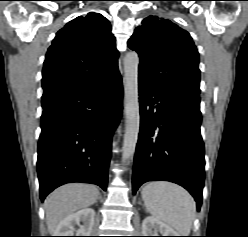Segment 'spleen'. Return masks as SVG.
<instances>
[{"label":"spleen","mask_w":248,"mask_h":237,"mask_svg":"<svg viewBox=\"0 0 248 237\" xmlns=\"http://www.w3.org/2000/svg\"><path fill=\"white\" fill-rule=\"evenodd\" d=\"M147 211L174 228L181 236H188L195 217L196 205L182 187L164 181L150 182L141 192Z\"/></svg>","instance_id":"spleen-1"}]
</instances>
